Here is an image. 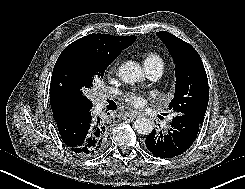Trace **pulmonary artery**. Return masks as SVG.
I'll return each mask as SVG.
<instances>
[{
	"label": "pulmonary artery",
	"mask_w": 245,
	"mask_h": 189,
	"mask_svg": "<svg viewBox=\"0 0 245 189\" xmlns=\"http://www.w3.org/2000/svg\"><path fill=\"white\" fill-rule=\"evenodd\" d=\"M145 70L149 78L152 80L158 79L163 73L162 66H148V67H145Z\"/></svg>",
	"instance_id": "1"
}]
</instances>
